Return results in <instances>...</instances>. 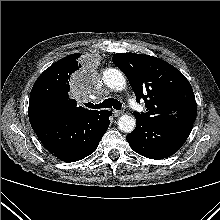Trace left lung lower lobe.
<instances>
[{
  "label": "left lung lower lobe",
  "mask_w": 220,
  "mask_h": 220,
  "mask_svg": "<svg viewBox=\"0 0 220 220\" xmlns=\"http://www.w3.org/2000/svg\"><path fill=\"white\" fill-rule=\"evenodd\" d=\"M136 128L127 137L130 147L150 159H163L176 153L187 140L193 122L167 120L150 122L136 117Z\"/></svg>",
  "instance_id": "0a47b994"
}]
</instances>
